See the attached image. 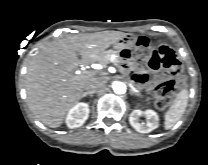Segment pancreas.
Masks as SVG:
<instances>
[{"mask_svg":"<svg viewBox=\"0 0 208 165\" xmlns=\"http://www.w3.org/2000/svg\"><path fill=\"white\" fill-rule=\"evenodd\" d=\"M111 60L113 61V63L115 65L120 64L122 62V59L119 56V54L116 53L113 50H107V51H105L103 57L100 60V62H101L102 65L106 66Z\"/></svg>","mask_w":208,"mask_h":165,"instance_id":"1","label":"pancreas"}]
</instances>
